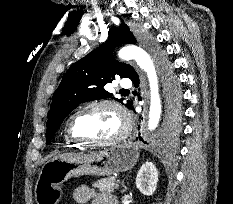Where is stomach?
<instances>
[{
  "mask_svg": "<svg viewBox=\"0 0 233 204\" xmlns=\"http://www.w3.org/2000/svg\"><path fill=\"white\" fill-rule=\"evenodd\" d=\"M139 155L136 144L125 142L98 152L55 157L40 171L35 185V201L37 204H58L63 182L82 175L110 176L131 170Z\"/></svg>",
  "mask_w": 233,
  "mask_h": 204,
  "instance_id": "1",
  "label": "stomach"
}]
</instances>
